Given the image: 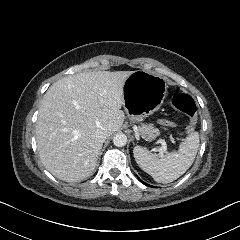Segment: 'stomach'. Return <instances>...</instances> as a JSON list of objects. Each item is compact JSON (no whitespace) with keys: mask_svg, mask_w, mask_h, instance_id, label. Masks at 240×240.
I'll return each instance as SVG.
<instances>
[{"mask_svg":"<svg viewBox=\"0 0 240 240\" xmlns=\"http://www.w3.org/2000/svg\"><path fill=\"white\" fill-rule=\"evenodd\" d=\"M167 78L144 70L134 71L124 85L123 106L129 119L141 122L162 106L167 95Z\"/></svg>","mask_w":240,"mask_h":240,"instance_id":"0dacf381","label":"stomach"}]
</instances>
